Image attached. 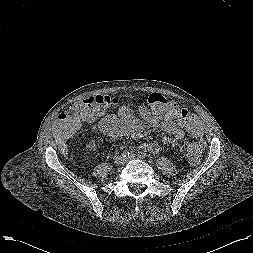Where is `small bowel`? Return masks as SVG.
<instances>
[{
  "label": "small bowel",
  "instance_id": "1",
  "mask_svg": "<svg viewBox=\"0 0 253 253\" xmlns=\"http://www.w3.org/2000/svg\"><path fill=\"white\" fill-rule=\"evenodd\" d=\"M147 108L141 109V115L146 119L149 125L153 128L159 129L163 133L162 141L164 144L177 146L178 142L184 137L181 124L173 121L170 118H166L162 121H157L148 116ZM111 118H106L100 122V125L104 122H110ZM118 122L121 130L130 135L133 138H142L145 133V127L139 122V120L133 115L129 108L122 107L118 112ZM62 133V132H61ZM63 134V133H62ZM64 135V134H63ZM66 136V135H65ZM144 149L150 153H158L161 147L156 144H146Z\"/></svg>",
  "mask_w": 253,
  "mask_h": 253
}]
</instances>
